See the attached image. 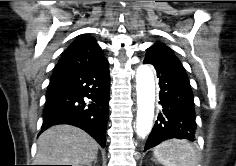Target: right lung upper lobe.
Returning <instances> with one entry per match:
<instances>
[{"mask_svg": "<svg viewBox=\"0 0 236 166\" xmlns=\"http://www.w3.org/2000/svg\"><path fill=\"white\" fill-rule=\"evenodd\" d=\"M107 62L96 40L91 36L76 39L62 54L54 72L82 71Z\"/></svg>", "mask_w": 236, "mask_h": 166, "instance_id": "right-lung-upper-lobe-1", "label": "right lung upper lobe"}]
</instances>
